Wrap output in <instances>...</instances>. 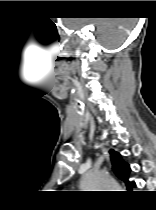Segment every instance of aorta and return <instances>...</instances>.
Listing matches in <instances>:
<instances>
[{"label":"aorta","instance_id":"762f6f07","mask_svg":"<svg viewBox=\"0 0 156 210\" xmlns=\"http://www.w3.org/2000/svg\"><path fill=\"white\" fill-rule=\"evenodd\" d=\"M80 184L86 191H114L120 188L113 178L102 172H86Z\"/></svg>","mask_w":156,"mask_h":210}]
</instances>
